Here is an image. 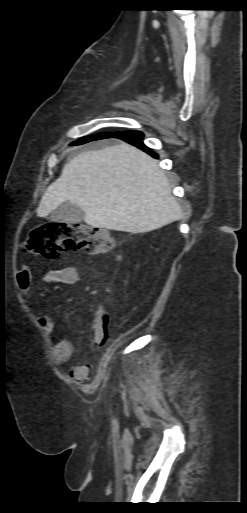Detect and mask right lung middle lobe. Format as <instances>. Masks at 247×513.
Here are the masks:
<instances>
[{
    "mask_svg": "<svg viewBox=\"0 0 247 513\" xmlns=\"http://www.w3.org/2000/svg\"><path fill=\"white\" fill-rule=\"evenodd\" d=\"M115 134H117V133H115ZM109 135H114V134H98V135H93V136H89V137H84L83 139H80L79 141L82 142L80 144H83V143H87V142H90L93 140L104 139Z\"/></svg>",
    "mask_w": 247,
    "mask_h": 513,
    "instance_id": "obj_1",
    "label": "right lung middle lobe"
}]
</instances>
